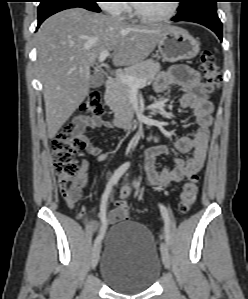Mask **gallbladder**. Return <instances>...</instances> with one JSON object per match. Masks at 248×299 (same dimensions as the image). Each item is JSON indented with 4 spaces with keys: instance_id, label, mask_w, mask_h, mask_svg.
Returning a JSON list of instances; mask_svg holds the SVG:
<instances>
[{
    "instance_id": "gallbladder-1",
    "label": "gallbladder",
    "mask_w": 248,
    "mask_h": 299,
    "mask_svg": "<svg viewBox=\"0 0 248 299\" xmlns=\"http://www.w3.org/2000/svg\"><path fill=\"white\" fill-rule=\"evenodd\" d=\"M104 83V77L99 73H94L90 78V87L97 88L100 87Z\"/></svg>"
}]
</instances>
